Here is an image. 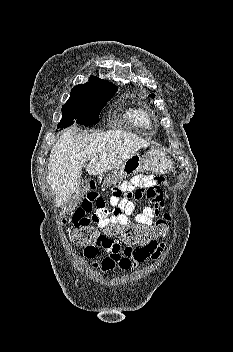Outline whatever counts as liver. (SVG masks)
<instances>
[{
	"mask_svg": "<svg viewBox=\"0 0 233 352\" xmlns=\"http://www.w3.org/2000/svg\"><path fill=\"white\" fill-rule=\"evenodd\" d=\"M149 143L123 130L101 133H78L66 130L53 146L49 158L47 181L55 193L57 206H63L81 183L86 160L89 175H102L120 166Z\"/></svg>",
	"mask_w": 233,
	"mask_h": 352,
	"instance_id": "6515ba94",
	"label": "liver"
}]
</instances>
